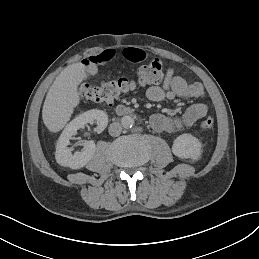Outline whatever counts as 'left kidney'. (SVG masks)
<instances>
[{
    "instance_id": "left-kidney-1",
    "label": "left kidney",
    "mask_w": 259,
    "mask_h": 259,
    "mask_svg": "<svg viewBox=\"0 0 259 259\" xmlns=\"http://www.w3.org/2000/svg\"><path fill=\"white\" fill-rule=\"evenodd\" d=\"M172 152L180 158H191L196 161L201 158V143L191 134H182L174 140Z\"/></svg>"
}]
</instances>
